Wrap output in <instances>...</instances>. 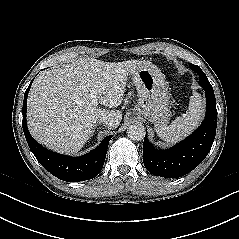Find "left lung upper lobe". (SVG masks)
<instances>
[{
  "mask_svg": "<svg viewBox=\"0 0 239 239\" xmlns=\"http://www.w3.org/2000/svg\"><path fill=\"white\" fill-rule=\"evenodd\" d=\"M191 68L194 69L199 74V80H208L205 73L197 65L190 64Z\"/></svg>",
  "mask_w": 239,
  "mask_h": 239,
  "instance_id": "obj_1",
  "label": "left lung upper lobe"
}]
</instances>
